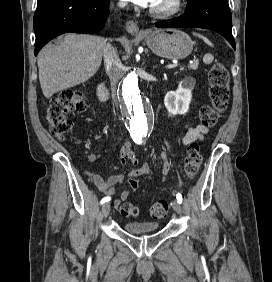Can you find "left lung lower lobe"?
<instances>
[{
	"mask_svg": "<svg viewBox=\"0 0 272 282\" xmlns=\"http://www.w3.org/2000/svg\"><path fill=\"white\" fill-rule=\"evenodd\" d=\"M160 28L199 27L218 32L235 49L228 0H187V10L178 18L157 22Z\"/></svg>",
	"mask_w": 272,
	"mask_h": 282,
	"instance_id": "left-lung-lower-lobe-1",
	"label": "left lung lower lobe"
}]
</instances>
